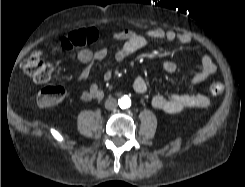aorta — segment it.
Wrapping results in <instances>:
<instances>
[{
  "mask_svg": "<svg viewBox=\"0 0 245 187\" xmlns=\"http://www.w3.org/2000/svg\"><path fill=\"white\" fill-rule=\"evenodd\" d=\"M131 105V100L128 96H123L119 99V106L122 109L129 108Z\"/></svg>",
  "mask_w": 245,
  "mask_h": 187,
  "instance_id": "aorta-1",
  "label": "aorta"
}]
</instances>
